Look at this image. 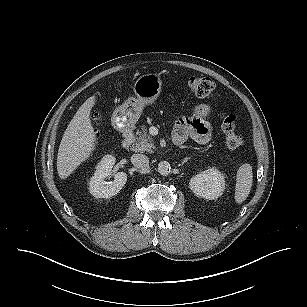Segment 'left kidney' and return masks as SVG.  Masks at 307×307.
Wrapping results in <instances>:
<instances>
[{"mask_svg": "<svg viewBox=\"0 0 307 307\" xmlns=\"http://www.w3.org/2000/svg\"><path fill=\"white\" fill-rule=\"evenodd\" d=\"M189 187L199 197L217 199L225 189V177L216 168H209L192 177Z\"/></svg>", "mask_w": 307, "mask_h": 307, "instance_id": "1", "label": "left kidney"}]
</instances>
